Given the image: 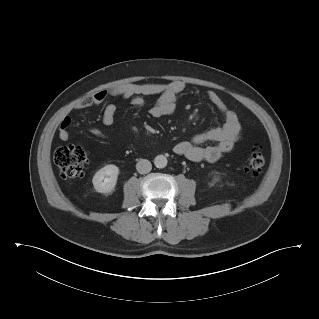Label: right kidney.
Segmentation results:
<instances>
[{
	"label": "right kidney",
	"instance_id": "right-kidney-1",
	"mask_svg": "<svg viewBox=\"0 0 319 319\" xmlns=\"http://www.w3.org/2000/svg\"><path fill=\"white\" fill-rule=\"evenodd\" d=\"M119 168L109 164L97 171L92 179L94 189L99 193H109L117 183Z\"/></svg>",
	"mask_w": 319,
	"mask_h": 319
}]
</instances>
